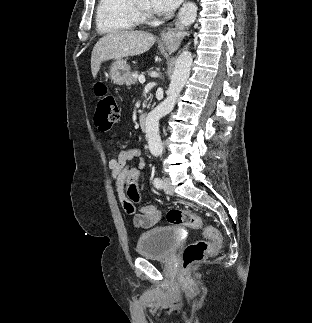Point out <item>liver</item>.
<instances>
[{
	"label": "liver",
	"instance_id": "liver-1",
	"mask_svg": "<svg viewBox=\"0 0 312 323\" xmlns=\"http://www.w3.org/2000/svg\"><path fill=\"white\" fill-rule=\"evenodd\" d=\"M156 40L146 32H110L95 44L91 56V72L96 78L102 62L139 56L152 48Z\"/></svg>",
	"mask_w": 312,
	"mask_h": 323
}]
</instances>
